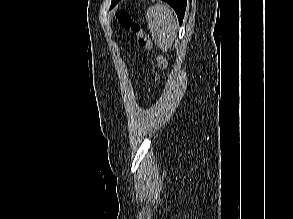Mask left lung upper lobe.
<instances>
[{
    "label": "left lung upper lobe",
    "mask_w": 293,
    "mask_h": 219,
    "mask_svg": "<svg viewBox=\"0 0 293 219\" xmlns=\"http://www.w3.org/2000/svg\"><path fill=\"white\" fill-rule=\"evenodd\" d=\"M117 0H112V3H111V5L113 4V3H115Z\"/></svg>",
    "instance_id": "left-lung-upper-lobe-1"
}]
</instances>
